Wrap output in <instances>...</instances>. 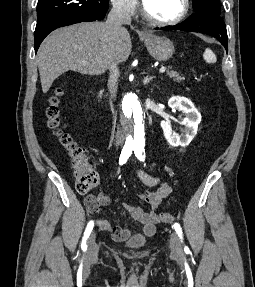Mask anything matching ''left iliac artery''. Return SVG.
I'll use <instances>...</instances> for the list:
<instances>
[{"mask_svg": "<svg viewBox=\"0 0 255 287\" xmlns=\"http://www.w3.org/2000/svg\"><path fill=\"white\" fill-rule=\"evenodd\" d=\"M134 153H135V156L140 160V161H144V158H145V151H144V148L142 147H135L134 148ZM174 228H175V231L177 232L178 236L181 238L182 240V229L180 227V225L178 223H175L174 224Z\"/></svg>", "mask_w": 255, "mask_h": 287, "instance_id": "44dca946", "label": "left iliac artery"}]
</instances>
